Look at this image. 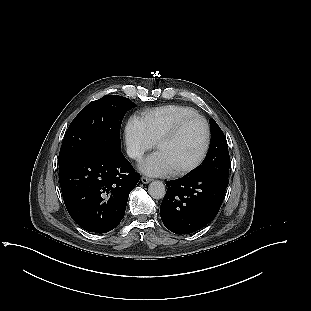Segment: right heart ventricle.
Returning <instances> with one entry per match:
<instances>
[{"label":"right heart ventricle","instance_id":"e07e8e85","mask_svg":"<svg viewBox=\"0 0 311 311\" xmlns=\"http://www.w3.org/2000/svg\"><path fill=\"white\" fill-rule=\"evenodd\" d=\"M195 114L197 112L191 107L180 104H168L144 110L141 113V121L151 140L156 142L159 136L178 120Z\"/></svg>","mask_w":311,"mask_h":311}]
</instances>
